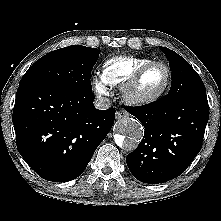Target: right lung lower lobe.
<instances>
[{
    "label": "right lung lower lobe",
    "instance_id": "1",
    "mask_svg": "<svg viewBox=\"0 0 221 221\" xmlns=\"http://www.w3.org/2000/svg\"><path fill=\"white\" fill-rule=\"evenodd\" d=\"M92 92L25 84L13 110L17 148L42 178L66 182L87 167L110 131L115 109L98 110Z\"/></svg>",
    "mask_w": 221,
    "mask_h": 221
}]
</instances>
